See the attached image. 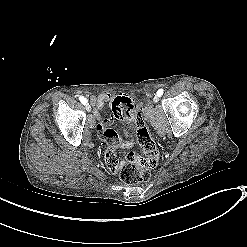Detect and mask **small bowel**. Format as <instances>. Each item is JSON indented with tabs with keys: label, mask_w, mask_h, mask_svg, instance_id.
Segmentation results:
<instances>
[{
	"label": "small bowel",
	"mask_w": 247,
	"mask_h": 247,
	"mask_svg": "<svg viewBox=\"0 0 247 247\" xmlns=\"http://www.w3.org/2000/svg\"><path fill=\"white\" fill-rule=\"evenodd\" d=\"M110 102L112 109V117L124 120L123 130L127 136L131 135L133 131V121L134 119L125 118L122 116L121 107L123 106L127 111L132 109L134 115L143 112L144 107L142 104L137 103L133 100L125 98L123 96L111 97L110 95H102L97 99V107L94 109V114L98 120L99 127L94 129V134L96 136H101L103 139H109L112 144H117L119 142V136L115 129H106L108 125V120L105 117H100L103 114V109L101 108L105 103ZM132 145L131 141H124L119 145H113V148H109L106 153L107 168L111 172H117L119 170V164L116 160V150H122L124 148H130Z\"/></svg>",
	"instance_id": "obj_1"
}]
</instances>
